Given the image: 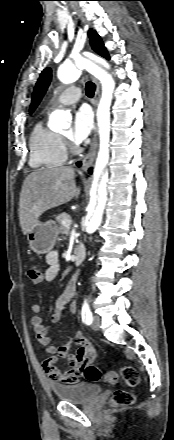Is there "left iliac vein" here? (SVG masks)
I'll return each mask as SVG.
<instances>
[{"label": "left iliac vein", "mask_w": 174, "mask_h": 440, "mask_svg": "<svg viewBox=\"0 0 174 440\" xmlns=\"http://www.w3.org/2000/svg\"><path fill=\"white\" fill-rule=\"evenodd\" d=\"M100 325H101V319L98 316H95L92 322L93 330L98 331L100 329Z\"/></svg>", "instance_id": "1"}]
</instances>
